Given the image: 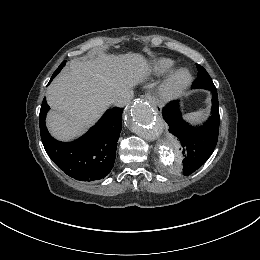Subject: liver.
Listing matches in <instances>:
<instances>
[{
  "label": "liver",
  "instance_id": "obj_1",
  "mask_svg": "<svg viewBox=\"0 0 260 260\" xmlns=\"http://www.w3.org/2000/svg\"><path fill=\"white\" fill-rule=\"evenodd\" d=\"M149 74L148 61L139 53H99L95 58L72 60L47 90L49 132L58 140H73L101 117L117 94Z\"/></svg>",
  "mask_w": 260,
  "mask_h": 260
}]
</instances>
